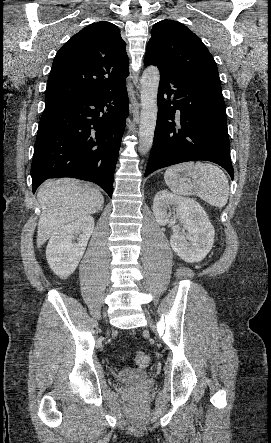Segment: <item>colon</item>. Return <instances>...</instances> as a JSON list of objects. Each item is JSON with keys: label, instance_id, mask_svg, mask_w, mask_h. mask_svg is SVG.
<instances>
[{"label": "colon", "instance_id": "1", "mask_svg": "<svg viewBox=\"0 0 271 443\" xmlns=\"http://www.w3.org/2000/svg\"><path fill=\"white\" fill-rule=\"evenodd\" d=\"M135 361L138 366L146 367L149 364L150 358L147 353L140 351L135 354Z\"/></svg>", "mask_w": 271, "mask_h": 443}]
</instances>
